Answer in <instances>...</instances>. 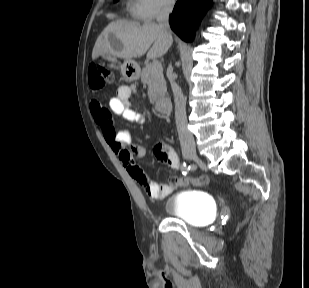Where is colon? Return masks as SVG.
I'll use <instances>...</instances> for the list:
<instances>
[{
	"label": "colon",
	"instance_id": "obj_1",
	"mask_svg": "<svg viewBox=\"0 0 309 288\" xmlns=\"http://www.w3.org/2000/svg\"><path fill=\"white\" fill-rule=\"evenodd\" d=\"M113 82V75L109 70L96 67L90 72V85L93 88H102L107 84ZM97 101V100H95ZM171 186L180 187L191 185L195 187H202L208 184V178L206 176L191 177V178H180V177H171L169 180Z\"/></svg>",
	"mask_w": 309,
	"mask_h": 288
}]
</instances>
